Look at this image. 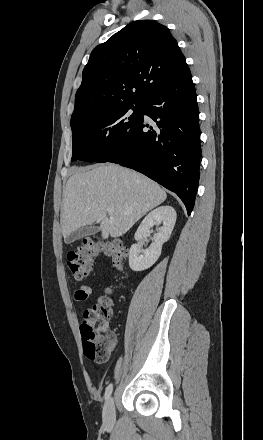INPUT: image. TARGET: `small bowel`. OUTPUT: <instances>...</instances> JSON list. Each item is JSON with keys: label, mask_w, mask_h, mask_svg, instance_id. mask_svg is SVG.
Segmentation results:
<instances>
[{"label": "small bowel", "mask_w": 263, "mask_h": 440, "mask_svg": "<svg viewBox=\"0 0 263 440\" xmlns=\"http://www.w3.org/2000/svg\"><path fill=\"white\" fill-rule=\"evenodd\" d=\"M103 283L102 282H98L97 283V287H102ZM92 287L89 285H80L79 287L76 288V290L74 291V300L78 303H82L85 302L86 300L89 299V297L91 296L92 293Z\"/></svg>", "instance_id": "1"}]
</instances>
